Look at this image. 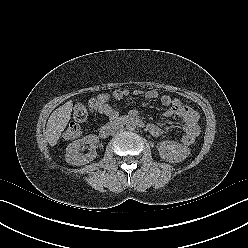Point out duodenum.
I'll return each instance as SVG.
<instances>
[{
  "mask_svg": "<svg viewBox=\"0 0 248 248\" xmlns=\"http://www.w3.org/2000/svg\"><path fill=\"white\" fill-rule=\"evenodd\" d=\"M133 123L140 127H145V123L140 118L133 116V115H127V116H121L114 118L110 123L104 125L100 130V135L103 138H107L110 136L111 132L116 129L117 127L125 124Z\"/></svg>",
  "mask_w": 248,
  "mask_h": 248,
  "instance_id": "duodenum-1",
  "label": "duodenum"
}]
</instances>
